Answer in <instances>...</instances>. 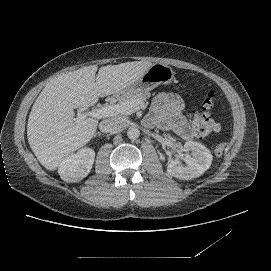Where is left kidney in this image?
<instances>
[{
	"label": "left kidney",
	"mask_w": 271,
	"mask_h": 271,
	"mask_svg": "<svg viewBox=\"0 0 271 271\" xmlns=\"http://www.w3.org/2000/svg\"><path fill=\"white\" fill-rule=\"evenodd\" d=\"M185 151L190 152L184 158L186 166H182L178 159L169 163L168 172L180 179L189 180L199 177L209 169L213 161V155L209 149L199 142L188 141L184 145Z\"/></svg>",
	"instance_id": "obj_1"
}]
</instances>
